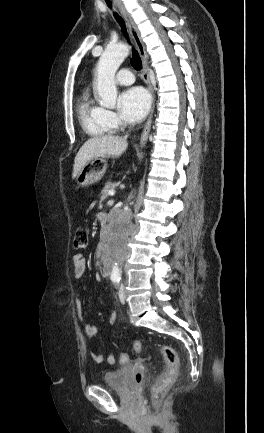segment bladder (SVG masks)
Instances as JSON below:
<instances>
[{
  "mask_svg": "<svg viewBox=\"0 0 264 433\" xmlns=\"http://www.w3.org/2000/svg\"><path fill=\"white\" fill-rule=\"evenodd\" d=\"M129 377V369L107 371L102 378V384L108 389L126 394L130 390Z\"/></svg>",
  "mask_w": 264,
  "mask_h": 433,
  "instance_id": "1",
  "label": "bladder"
}]
</instances>
